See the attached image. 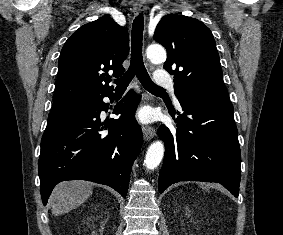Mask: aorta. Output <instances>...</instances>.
<instances>
[{"instance_id":"obj_1","label":"aorta","mask_w":283,"mask_h":235,"mask_svg":"<svg viewBox=\"0 0 283 235\" xmlns=\"http://www.w3.org/2000/svg\"><path fill=\"white\" fill-rule=\"evenodd\" d=\"M147 57L152 62H163L166 59L164 48L158 44L150 45L147 50ZM164 156V144L161 141L153 142L146 153L145 165L149 170H154L162 161Z\"/></svg>"}]
</instances>
